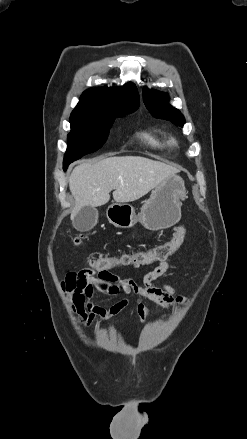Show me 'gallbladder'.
<instances>
[{
	"instance_id": "obj_1",
	"label": "gallbladder",
	"mask_w": 247,
	"mask_h": 439,
	"mask_svg": "<svg viewBox=\"0 0 247 439\" xmlns=\"http://www.w3.org/2000/svg\"><path fill=\"white\" fill-rule=\"evenodd\" d=\"M98 220V211L96 208L84 206L74 217L72 224L74 228L81 232H86L94 228Z\"/></svg>"
}]
</instances>
